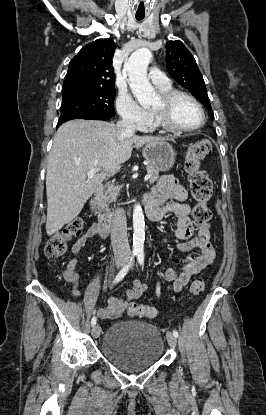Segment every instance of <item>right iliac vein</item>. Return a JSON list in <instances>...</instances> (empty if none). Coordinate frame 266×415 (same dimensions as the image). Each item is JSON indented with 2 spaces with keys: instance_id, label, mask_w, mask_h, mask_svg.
<instances>
[{
  "instance_id": "right-iliac-vein-1",
  "label": "right iliac vein",
  "mask_w": 266,
  "mask_h": 415,
  "mask_svg": "<svg viewBox=\"0 0 266 415\" xmlns=\"http://www.w3.org/2000/svg\"><path fill=\"white\" fill-rule=\"evenodd\" d=\"M126 263L125 259L119 258L116 260V266L118 268L123 267ZM101 334V327L99 325H94L92 328V335L94 338H98Z\"/></svg>"
}]
</instances>
